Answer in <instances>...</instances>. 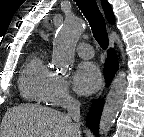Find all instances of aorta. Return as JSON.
Wrapping results in <instances>:
<instances>
[{"mask_svg": "<svg viewBox=\"0 0 144 137\" xmlns=\"http://www.w3.org/2000/svg\"><path fill=\"white\" fill-rule=\"evenodd\" d=\"M84 30L83 22L74 17H66L53 41L52 63L67 71L74 62L75 47ZM126 73L119 71L114 78L100 118L99 134L107 135L121 110L126 91Z\"/></svg>", "mask_w": 144, "mask_h": 137, "instance_id": "762f6f07", "label": "aorta"}]
</instances>
